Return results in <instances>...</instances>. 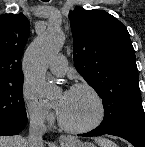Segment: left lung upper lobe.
Here are the masks:
<instances>
[{
    "instance_id": "left-lung-upper-lobe-1",
    "label": "left lung upper lobe",
    "mask_w": 145,
    "mask_h": 147,
    "mask_svg": "<svg viewBox=\"0 0 145 147\" xmlns=\"http://www.w3.org/2000/svg\"><path fill=\"white\" fill-rule=\"evenodd\" d=\"M69 18L75 68L103 102L104 120L97 128L145 121L134 48L124 24L103 10L78 7Z\"/></svg>"
}]
</instances>
